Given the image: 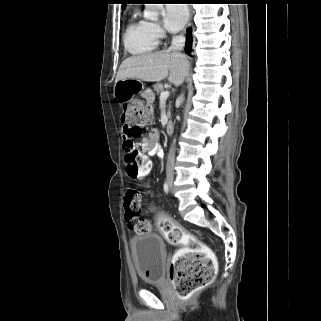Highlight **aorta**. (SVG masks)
<instances>
[{"label":"aorta","instance_id":"obj_1","mask_svg":"<svg viewBox=\"0 0 321 321\" xmlns=\"http://www.w3.org/2000/svg\"><path fill=\"white\" fill-rule=\"evenodd\" d=\"M163 8V4H146L144 18L152 21L158 20L159 13Z\"/></svg>","mask_w":321,"mask_h":321}]
</instances>
